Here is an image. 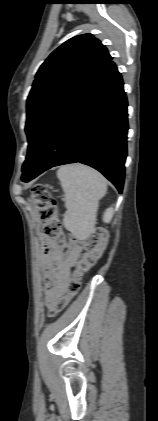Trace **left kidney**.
<instances>
[{
  "instance_id": "5707ae66",
  "label": "left kidney",
  "mask_w": 158,
  "mask_h": 421,
  "mask_svg": "<svg viewBox=\"0 0 158 421\" xmlns=\"http://www.w3.org/2000/svg\"><path fill=\"white\" fill-rule=\"evenodd\" d=\"M113 213H114L113 207L107 208L103 215V221L105 223H109L113 217Z\"/></svg>"
}]
</instances>
